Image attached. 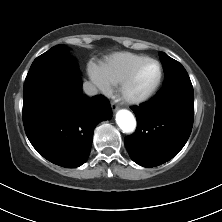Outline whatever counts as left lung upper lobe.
I'll use <instances>...</instances> for the list:
<instances>
[{
  "label": "left lung upper lobe",
  "instance_id": "obj_1",
  "mask_svg": "<svg viewBox=\"0 0 222 222\" xmlns=\"http://www.w3.org/2000/svg\"><path fill=\"white\" fill-rule=\"evenodd\" d=\"M165 73L163 86L172 84H187L191 83L190 78L185 68L176 60L170 58L164 52L159 53Z\"/></svg>",
  "mask_w": 222,
  "mask_h": 222
}]
</instances>
